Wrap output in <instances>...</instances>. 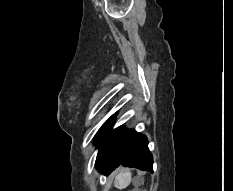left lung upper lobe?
<instances>
[{
	"mask_svg": "<svg viewBox=\"0 0 233 191\" xmlns=\"http://www.w3.org/2000/svg\"><path fill=\"white\" fill-rule=\"evenodd\" d=\"M116 114L112 115L100 128V130L97 132L94 142L97 141V139L99 138V136L101 135V133L103 132V130L112 122V120L115 118Z\"/></svg>",
	"mask_w": 233,
	"mask_h": 191,
	"instance_id": "left-lung-upper-lobe-1",
	"label": "left lung upper lobe"
}]
</instances>
